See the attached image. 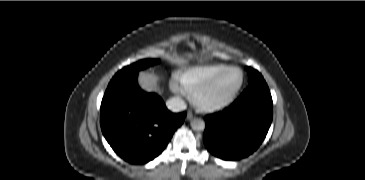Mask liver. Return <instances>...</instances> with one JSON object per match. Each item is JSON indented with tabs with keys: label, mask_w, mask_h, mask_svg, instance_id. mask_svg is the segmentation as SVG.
Wrapping results in <instances>:
<instances>
[{
	"label": "liver",
	"mask_w": 365,
	"mask_h": 180,
	"mask_svg": "<svg viewBox=\"0 0 365 180\" xmlns=\"http://www.w3.org/2000/svg\"><path fill=\"white\" fill-rule=\"evenodd\" d=\"M193 57L194 55L189 53V54H184L182 57H178L173 61L178 62L182 59H192ZM157 81L158 77L152 73H147V72L139 73V84L142 89L148 92L154 91L160 93Z\"/></svg>",
	"instance_id": "1"
}]
</instances>
